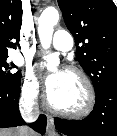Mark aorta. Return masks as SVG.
I'll use <instances>...</instances> for the list:
<instances>
[{"label": "aorta", "instance_id": "1", "mask_svg": "<svg viewBox=\"0 0 117 136\" xmlns=\"http://www.w3.org/2000/svg\"><path fill=\"white\" fill-rule=\"evenodd\" d=\"M58 21L59 13L55 8L45 9L38 18V34L41 45L44 49L50 47L54 31L53 28ZM45 59L47 60V66L50 69L57 67L60 63L58 55L54 53L47 55Z\"/></svg>", "mask_w": 117, "mask_h": 136}]
</instances>
